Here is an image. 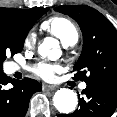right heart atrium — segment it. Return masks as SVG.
Masks as SVG:
<instances>
[{"label": "right heart atrium", "mask_w": 117, "mask_h": 117, "mask_svg": "<svg viewBox=\"0 0 117 117\" xmlns=\"http://www.w3.org/2000/svg\"><path fill=\"white\" fill-rule=\"evenodd\" d=\"M36 40V36L33 32H30L26 38L24 39V46L25 47H32L35 43Z\"/></svg>", "instance_id": "1"}]
</instances>
